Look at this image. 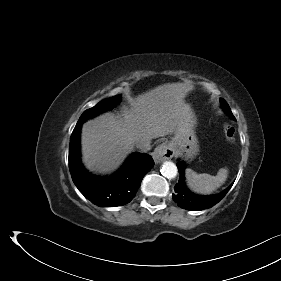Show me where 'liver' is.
Segmentation results:
<instances>
[{"label":"liver","mask_w":281,"mask_h":281,"mask_svg":"<svg viewBox=\"0 0 281 281\" xmlns=\"http://www.w3.org/2000/svg\"><path fill=\"white\" fill-rule=\"evenodd\" d=\"M186 83H167L130 99L121 115L105 113L82 126V161L96 173L117 169L138 141L174 134L190 118Z\"/></svg>","instance_id":"1"}]
</instances>
